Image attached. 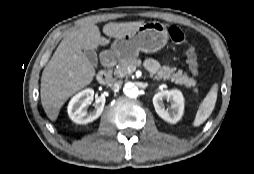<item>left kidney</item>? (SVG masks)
<instances>
[{
	"label": "left kidney",
	"mask_w": 254,
	"mask_h": 174,
	"mask_svg": "<svg viewBox=\"0 0 254 174\" xmlns=\"http://www.w3.org/2000/svg\"><path fill=\"white\" fill-rule=\"evenodd\" d=\"M165 99L171 104L169 108H166L163 103ZM153 105L156 113L171 124L177 123L184 112V98L177 89L157 92L153 97Z\"/></svg>",
	"instance_id": "1"
}]
</instances>
